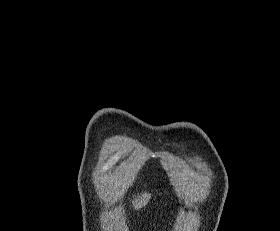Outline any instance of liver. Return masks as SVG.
Masks as SVG:
<instances>
[{
	"label": "liver",
	"mask_w": 280,
	"mask_h": 231,
	"mask_svg": "<svg viewBox=\"0 0 280 231\" xmlns=\"http://www.w3.org/2000/svg\"><path fill=\"white\" fill-rule=\"evenodd\" d=\"M150 197L151 193H147V191L142 193V195H140V199H134V201H132L134 209H140V207H143Z\"/></svg>",
	"instance_id": "6515ba94"
}]
</instances>
